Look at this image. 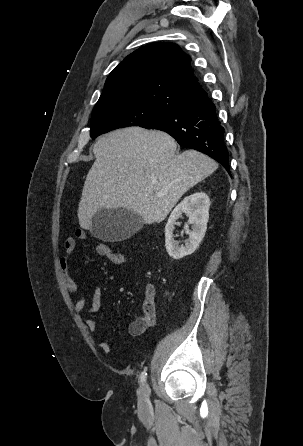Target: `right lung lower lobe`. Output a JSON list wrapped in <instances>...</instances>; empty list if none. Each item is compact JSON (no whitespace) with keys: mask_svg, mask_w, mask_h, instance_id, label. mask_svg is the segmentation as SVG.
<instances>
[{"mask_svg":"<svg viewBox=\"0 0 303 446\" xmlns=\"http://www.w3.org/2000/svg\"><path fill=\"white\" fill-rule=\"evenodd\" d=\"M140 127L168 133L180 145L215 159L230 173L228 150L223 138L224 130L208 95L167 111Z\"/></svg>","mask_w":303,"mask_h":446,"instance_id":"obj_1","label":"right lung lower lobe"}]
</instances>
